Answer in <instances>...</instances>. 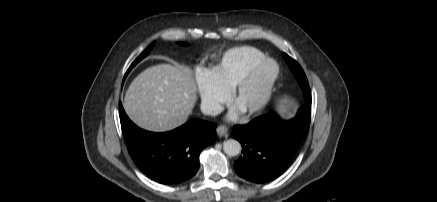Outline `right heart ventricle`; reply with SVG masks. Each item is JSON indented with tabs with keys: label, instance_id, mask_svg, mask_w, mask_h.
Returning a JSON list of instances; mask_svg holds the SVG:
<instances>
[{
	"label": "right heart ventricle",
	"instance_id": "e07e8e85",
	"mask_svg": "<svg viewBox=\"0 0 437 202\" xmlns=\"http://www.w3.org/2000/svg\"><path fill=\"white\" fill-rule=\"evenodd\" d=\"M264 58L265 55L254 47H235L223 54L212 73L225 89L231 91L249 68Z\"/></svg>",
	"mask_w": 437,
	"mask_h": 202
}]
</instances>
